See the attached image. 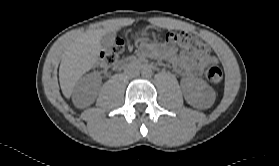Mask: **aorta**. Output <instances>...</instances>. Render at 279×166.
Instances as JSON below:
<instances>
[{"mask_svg":"<svg viewBox=\"0 0 279 166\" xmlns=\"http://www.w3.org/2000/svg\"><path fill=\"white\" fill-rule=\"evenodd\" d=\"M141 75L143 77H151L152 76V69L150 67H143L142 70H141Z\"/></svg>","mask_w":279,"mask_h":166,"instance_id":"1","label":"aorta"}]
</instances>
